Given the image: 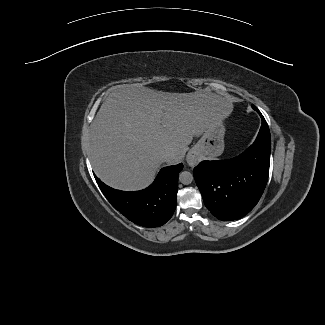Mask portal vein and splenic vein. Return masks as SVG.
<instances>
[{
  "label": "portal vein and splenic vein",
  "instance_id": "18ae733b",
  "mask_svg": "<svg viewBox=\"0 0 325 325\" xmlns=\"http://www.w3.org/2000/svg\"><path fill=\"white\" fill-rule=\"evenodd\" d=\"M162 117V111H158V119H160Z\"/></svg>",
  "mask_w": 325,
  "mask_h": 325
}]
</instances>
